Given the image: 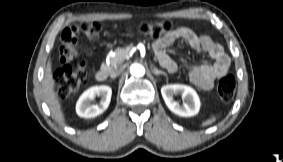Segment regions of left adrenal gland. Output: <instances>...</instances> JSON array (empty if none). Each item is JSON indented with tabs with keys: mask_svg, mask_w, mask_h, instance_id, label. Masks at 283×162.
I'll use <instances>...</instances> for the list:
<instances>
[{
	"mask_svg": "<svg viewBox=\"0 0 283 162\" xmlns=\"http://www.w3.org/2000/svg\"><path fill=\"white\" fill-rule=\"evenodd\" d=\"M153 73H154L156 76L162 74V75H164L165 77H167V73H165V72L162 71V70H158L156 67H154Z\"/></svg>",
	"mask_w": 283,
	"mask_h": 162,
	"instance_id": "left-adrenal-gland-1",
	"label": "left adrenal gland"
}]
</instances>
